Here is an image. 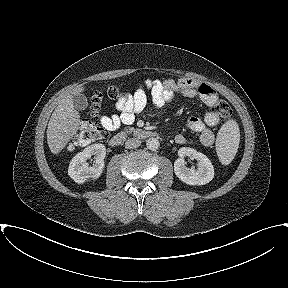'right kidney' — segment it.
Here are the masks:
<instances>
[{
    "mask_svg": "<svg viewBox=\"0 0 288 288\" xmlns=\"http://www.w3.org/2000/svg\"><path fill=\"white\" fill-rule=\"evenodd\" d=\"M106 148L103 144H93L76 154L68 167V175L78 184L88 179H97L104 168ZM94 156L93 166H89L87 160Z\"/></svg>",
    "mask_w": 288,
    "mask_h": 288,
    "instance_id": "1",
    "label": "right kidney"
}]
</instances>
